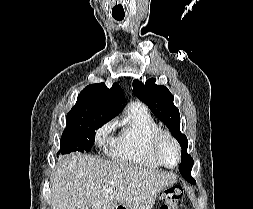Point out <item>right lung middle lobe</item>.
Masks as SVG:
<instances>
[{"mask_svg":"<svg viewBox=\"0 0 253 209\" xmlns=\"http://www.w3.org/2000/svg\"><path fill=\"white\" fill-rule=\"evenodd\" d=\"M110 120L111 118L101 115H87L66 121L67 125L61 136V148L58 153L89 152L95 141V130Z\"/></svg>","mask_w":253,"mask_h":209,"instance_id":"obj_1","label":"right lung middle lobe"}]
</instances>
